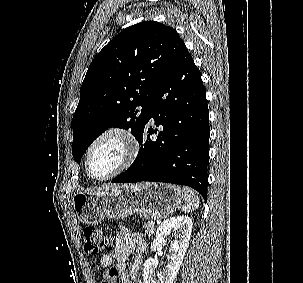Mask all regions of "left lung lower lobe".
I'll list each match as a JSON object with an SVG mask.
<instances>
[{
	"mask_svg": "<svg viewBox=\"0 0 303 283\" xmlns=\"http://www.w3.org/2000/svg\"><path fill=\"white\" fill-rule=\"evenodd\" d=\"M209 111L206 91L185 47L155 91L134 163L112 182H166L187 185L206 200L209 165ZM153 118L160 131L149 127ZM157 134V139L150 136Z\"/></svg>",
	"mask_w": 303,
	"mask_h": 283,
	"instance_id": "0a47b994",
	"label": "left lung lower lobe"
}]
</instances>
